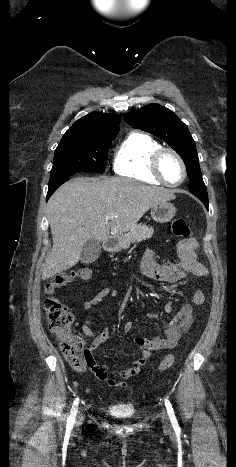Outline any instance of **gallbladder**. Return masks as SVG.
I'll return each instance as SVG.
<instances>
[{"label":"gallbladder","mask_w":236,"mask_h":467,"mask_svg":"<svg viewBox=\"0 0 236 467\" xmlns=\"http://www.w3.org/2000/svg\"><path fill=\"white\" fill-rule=\"evenodd\" d=\"M101 253V244L95 239H89L83 246L80 260L83 264L96 261Z\"/></svg>","instance_id":"bac80fb5"}]
</instances>
